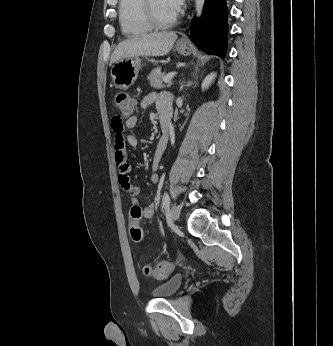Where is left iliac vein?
<instances>
[{"instance_id": "obj_1", "label": "left iliac vein", "mask_w": 333, "mask_h": 346, "mask_svg": "<svg viewBox=\"0 0 333 346\" xmlns=\"http://www.w3.org/2000/svg\"><path fill=\"white\" fill-rule=\"evenodd\" d=\"M170 215V221L171 224L174 225V223L178 220L180 215V207L178 205H173L169 212Z\"/></svg>"}]
</instances>
